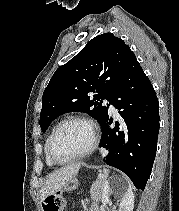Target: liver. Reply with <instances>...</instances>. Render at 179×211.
Wrapping results in <instances>:
<instances>
[{
	"mask_svg": "<svg viewBox=\"0 0 179 211\" xmlns=\"http://www.w3.org/2000/svg\"><path fill=\"white\" fill-rule=\"evenodd\" d=\"M80 167H81L80 164H73L66 166L64 168H60L59 170L50 174L44 186L41 188L40 191L41 201H43L48 196L53 195L56 192L62 190L65 187V185L72 178L75 177Z\"/></svg>",
	"mask_w": 179,
	"mask_h": 211,
	"instance_id": "liver-1",
	"label": "liver"
}]
</instances>
